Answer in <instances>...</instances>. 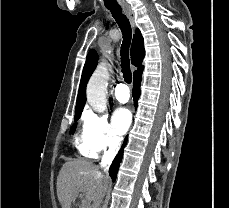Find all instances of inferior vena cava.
<instances>
[{
    "label": "inferior vena cava",
    "mask_w": 229,
    "mask_h": 208,
    "mask_svg": "<svg viewBox=\"0 0 229 208\" xmlns=\"http://www.w3.org/2000/svg\"><path fill=\"white\" fill-rule=\"evenodd\" d=\"M115 154L116 152H104V156L101 160V168H102V172H100V176L101 178H104V180H108V170H109V166L110 164H112L114 158H115ZM105 192H103V196H104Z\"/></svg>",
    "instance_id": "602c4592"
}]
</instances>
